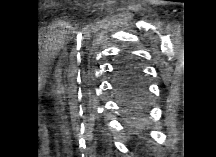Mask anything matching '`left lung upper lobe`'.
I'll return each mask as SVG.
<instances>
[{
	"mask_svg": "<svg viewBox=\"0 0 216 157\" xmlns=\"http://www.w3.org/2000/svg\"><path fill=\"white\" fill-rule=\"evenodd\" d=\"M117 70L119 72L118 80L131 87L134 93L133 99L127 105L130 108L141 105L146 88L141 79L139 66L130 58H126L118 65Z\"/></svg>",
	"mask_w": 216,
	"mask_h": 157,
	"instance_id": "obj_1",
	"label": "left lung upper lobe"
}]
</instances>
